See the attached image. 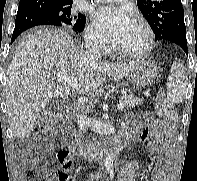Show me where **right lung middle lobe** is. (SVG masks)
Returning a JSON list of instances; mask_svg holds the SVG:
<instances>
[{
    "label": "right lung middle lobe",
    "mask_w": 197,
    "mask_h": 181,
    "mask_svg": "<svg viewBox=\"0 0 197 181\" xmlns=\"http://www.w3.org/2000/svg\"><path fill=\"white\" fill-rule=\"evenodd\" d=\"M39 7L49 14L55 16L64 26H68L73 30L82 32L85 26L86 17L79 13L78 15L71 14V6H60L54 4H39Z\"/></svg>",
    "instance_id": "obj_1"
}]
</instances>
